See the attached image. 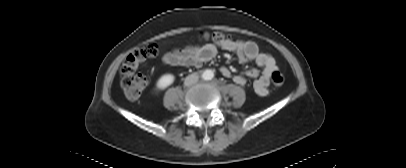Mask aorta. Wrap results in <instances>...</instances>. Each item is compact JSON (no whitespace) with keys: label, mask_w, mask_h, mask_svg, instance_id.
<instances>
[{"label":"aorta","mask_w":406,"mask_h":168,"mask_svg":"<svg viewBox=\"0 0 406 168\" xmlns=\"http://www.w3.org/2000/svg\"><path fill=\"white\" fill-rule=\"evenodd\" d=\"M203 79L211 80L214 77V72L210 69H207L202 74Z\"/></svg>","instance_id":"1"}]
</instances>
